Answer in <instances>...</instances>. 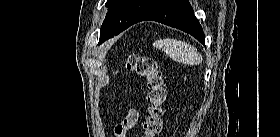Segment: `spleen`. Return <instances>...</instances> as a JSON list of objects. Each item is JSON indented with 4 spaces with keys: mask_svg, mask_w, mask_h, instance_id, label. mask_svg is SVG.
Instances as JSON below:
<instances>
[{
    "mask_svg": "<svg viewBox=\"0 0 280 137\" xmlns=\"http://www.w3.org/2000/svg\"><path fill=\"white\" fill-rule=\"evenodd\" d=\"M153 47L162 50L172 60L186 65H198L202 62V56L198 50L177 39H160L153 43Z\"/></svg>",
    "mask_w": 280,
    "mask_h": 137,
    "instance_id": "spleen-1",
    "label": "spleen"
}]
</instances>
